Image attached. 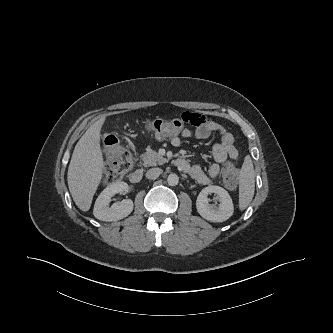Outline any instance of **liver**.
Segmentation results:
<instances>
[{
  "label": "liver",
  "mask_w": 333,
  "mask_h": 333,
  "mask_svg": "<svg viewBox=\"0 0 333 333\" xmlns=\"http://www.w3.org/2000/svg\"><path fill=\"white\" fill-rule=\"evenodd\" d=\"M106 117L92 124L77 142L68 167V187L75 204L87 212L101 182L104 160L100 146L101 129Z\"/></svg>",
  "instance_id": "liver-1"
}]
</instances>
